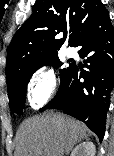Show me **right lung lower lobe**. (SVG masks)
I'll return each mask as SVG.
<instances>
[{
  "label": "right lung lower lobe",
  "mask_w": 114,
  "mask_h": 156,
  "mask_svg": "<svg viewBox=\"0 0 114 156\" xmlns=\"http://www.w3.org/2000/svg\"><path fill=\"white\" fill-rule=\"evenodd\" d=\"M77 46L80 56L87 57V69L72 63L62 90L47 108L61 109L84 122L102 140L114 87V28L106 9L80 33L73 44Z\"/></svg>",
  "instance_id": "obj_1"
}]
</instances>
